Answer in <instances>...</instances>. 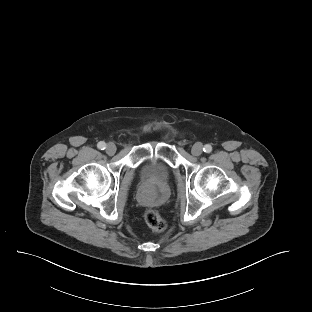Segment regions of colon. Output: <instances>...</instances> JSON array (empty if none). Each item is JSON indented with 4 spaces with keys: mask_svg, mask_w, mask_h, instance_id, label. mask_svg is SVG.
I'll return each mask as SVG.
<instances>
[{
    "mask_svg": "<svg viewBox=\"0 0 312 312\" xmlns=\"http://www.w3.org/2000/svg\"><path fill=\"white\" fill-rule=\"evenodd\" d=\"M144 220L148 227L155 232H163L166 227V221L155 209H148L144 214Z\"/></svg>",
    "mask_w": 312,
    "mask_h": 312,
    "instance_id": "obj_1",
    "label": "colon"
}]
</instances>
